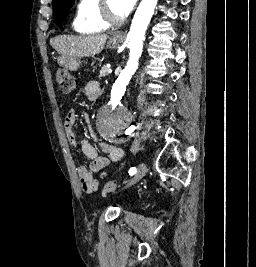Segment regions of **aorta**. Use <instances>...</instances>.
Segmentation results:
<instances>
[{
	"label": "aorta",
	"instance_id": "aorta-1",
	"mask_svg": "<svg viewBox=\"0 0 256 267\" xmlns=\"http://www.w3.org/2000/svg\"><path fill=\"white\" fill-rule=\"evenodd\" d=\"M158 0H142L140 2L128 32L129 60L123 67L124 72L117 76L113 92L110 93L111 100H119L126 90V83L129 82L133 72L138 68V60L143 52V42L146 30L154 14ZM136 54V56H134ZM105 108H99L98 127H127V122H132V117H128V108H122V104H105ZM95 133H99V138H106V143H130V138H118V133H122V128H95Z\"/></svg>",
	"mask_w": 256,
	"mask_h": 267
}]
</instances>
